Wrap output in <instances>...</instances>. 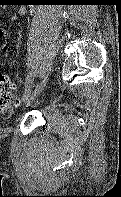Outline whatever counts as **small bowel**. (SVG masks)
Here are the masks:
<instances>
[{
	"label": "small bowel",
	"instance_id": "1",
	"mask_svg": "<svg viewBox=\"0 0 121 197\" xmlns=\"http://www.w3.org/2000/svg\"><path fill=\"white\" fill-rule=\"evenodd\" d=\"M25 13H26V8L22 6V7L19 8V11H18L17 14H14V15L11 16V20H12V21H15V20H17L20 16L25 15ZM0 34L2 35V31H0Z\"/></svg>",
	"mask_w": 121,
	"mask_h": 197
}]
</instances>
